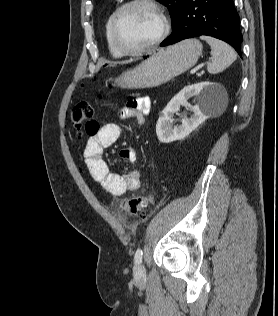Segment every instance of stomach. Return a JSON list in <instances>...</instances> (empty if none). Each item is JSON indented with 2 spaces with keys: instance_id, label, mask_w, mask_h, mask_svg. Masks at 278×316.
I'll use <instances>...</instances> for the list:
<instances>
[{
  "instance_id": "stomach-1",
  "label": "stomach",
  "mask_w": 278,
  "mask_h": 316,
  "mask_svg": "<svg viewBox=\"0 0 278 316\" xmlns=\"http://www.w3.org/2000/svg\"><path fill=\"white\" fill-rule=\"evenodd\" d=\"M202 53L196 39L184 40L146 57L138 66L127 70L116 79L121 88H152L166 83L193 67Z\"/></svg>"
}]
</instances>
